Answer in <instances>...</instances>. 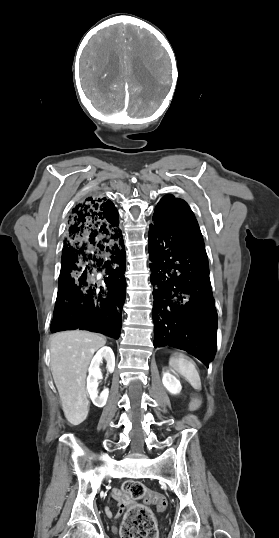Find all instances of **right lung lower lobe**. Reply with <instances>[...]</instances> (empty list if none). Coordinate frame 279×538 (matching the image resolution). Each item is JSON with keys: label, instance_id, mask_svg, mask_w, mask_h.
<instances>
[{"label": "right lung lower lobe", "instance_id": "right-lung-lower-lobe-1", "mask_svg": "<svg viewBox=\"0 0 279 538\" xmlns=\"http://www.w3.org/2000/svg\"><path fill=\"white\" fill-rule=\"evenodd\" d=\"M119 215L106 197H88L68 218L52 333L82 329L117 338L126 297Z\"/></svg>", "mask_w": 279, "mask_h": 538}]
</instances>
